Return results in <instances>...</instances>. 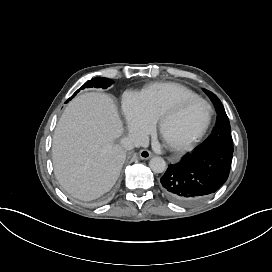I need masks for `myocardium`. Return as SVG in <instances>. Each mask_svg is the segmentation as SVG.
Returning a JSON list of instances; mask_svg holds the SVG:
<instances>
[{
  "mask_svg": "<svg viewBox=\"0 0 272 272\" xmlns=\"http://www.w3.org/2000/svg\"><path fill=\"white\" fill-rule=\"evenodd\" d=\"M194 103H198L203 106V108L205 110V116H204V120H203L202 124L195 131H193L191 134L187 135L183 139L184 146H188L191 143H193L194 141H196L207 130V128L210 124V121H211V117H212L211 105L205 99L198 97V96L181 98L175 104L172 105V107L170 109V114H168L167 112H163L161 115V128L163 130V133L165 134L166 129H167L168 115H175V114L181 113L188 106H190L191 104H194Z\"/></svg>",
  "mask_w": 272,
  "mask_h": 272,
  "instance_id": "obj_1",
  "label": "myocardium"
}]
</instances>
